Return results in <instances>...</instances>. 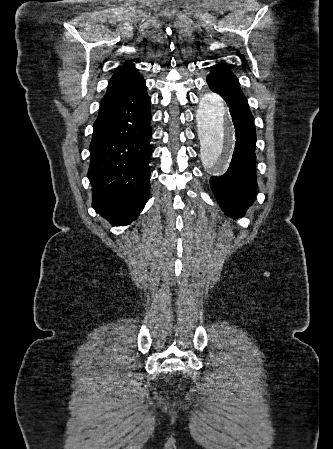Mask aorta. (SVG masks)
I'll use <instances>...</instances> for the list:
<instances>
[{
  "mask_svg": "<svg viewBox=\"0 0 333 449\" xmlns=\"http://www.w3.org/2000/svg\"><path fill=\"white\" fill-rule=\"evenodd\" d=\"M197 115L202 141L201 160L212 169L219 170L224 167L235 144L225 100L215 92H207Z\"/></svg>",
  "mask_w": 333,
  "mask_h": 449,
  "instance_id": "obj_1",
  "label": "aorta"
}]
</instances>
